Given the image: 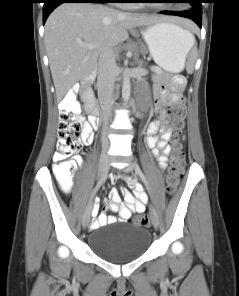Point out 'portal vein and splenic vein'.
I'll use <instances>...</instances> for the list:
<instances>
[{
	"label": "portal vein and splenic vein",
	"instance_id": "1",
	"mask_svg": "<svg viewBox=\"0 0 239 296\" xmlns=\"http://www.w3.org/2000/svg\"><path fill=\"white\" fill-rule=\"evenodd\" d=\"M80 45L86 47V48L89 49V50H93V49H95L96 46H97L96 44H93V43H89V44H83V43H80ZM152 70L155 71L154 68H152Z\"/></svg>",
	"mask_w": 239,
	"mask_h": 296
}]
</instances>
